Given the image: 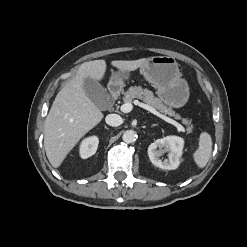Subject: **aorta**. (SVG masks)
Listing matches in <instances>:
<instances>
[{
	"label": "aorta",
	"instance_id": "1",
	"mask_svg": "<svg viewBox=\"0 0 247 247\" xmlns=\"http://www.w3.org/2000/svg\"><path fill=\"white\" fill-rule=\"evenodd\" d=\"M122 139L126 143H132L137 139V134L134 130H127L124 132Z\"/></svg>",
	"mask_w": 247,
	"mask_h": 247
}]
</instances>
